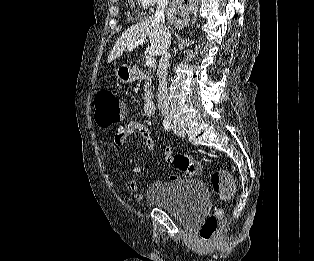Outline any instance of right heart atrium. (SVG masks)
I'll return each mask as SVG.
<instances>
[{
	"label": "right heart atrium",
	"mask_w": 314,
	"mask_h": 261,
	"mask_svg": "<svg viewBox=\"0 0 314 261\" xmlns=\"http://www.w3.org/2000/svg\"><path fill=\"white\" fill-rule=\"evenodd\" d=\"M138 5L144 9L145 11H149L152 9L153 6L157 5L158 3L164 0H136Z\"/></svg>",
	"instance_id": "1"
}]
</instances>
